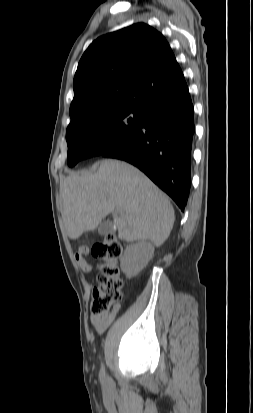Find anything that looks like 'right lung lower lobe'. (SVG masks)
Here are the masks:
<instances>
[{"mask_svg":"<svg viewBox=\"0 0 253 413\" xmlns=\"http://www.w3.org/2000/svg\"><path fill=\"white\" fill-rule=\"evenodd\" d=\"M194 131L188 92L181 99L149 105L141 127L101 155L138 167L184 211L190 190Z\"/></svg>","mask_w":253,"mask_h":413,"instance_id":"obj_1","label":"right lung lower lobe"}]
</instances>
